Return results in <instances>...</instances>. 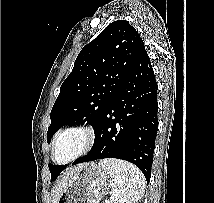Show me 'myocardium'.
<instances>
[{"label": "myocardium", "instance_id": "f54148a6", "mask_svg": "<svg viewBox=\"0 0 214 203\" xmlns=\"http://www.w3.org/2000/svg\"><path fill=\"white\" fill-rule=\"evenodd\" d=\"M72 131H79L84 134V136H85L84 145H83L82 149L77 154L72 156L71 158H69L65 161H61V162L57 161V159L55 157L57 144H58L59 140L62 138V136H64L66 133L72 132ZM95 138H96V135H95L94 130L86 125L76 124V125H70V126H67L63 129H61L55 135V137L53 139V143H52L51 158H52L53 162L60 164V165H66V164L76 161L77 159L81 158L82 156L87 154L92 149V147L95 143Z\"/></svg>", "mask_w": 214, "mask_h": 203}]
</instances>
